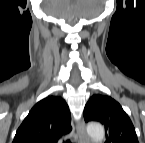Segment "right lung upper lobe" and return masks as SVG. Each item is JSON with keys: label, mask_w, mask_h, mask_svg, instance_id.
Segmentation results:
<instances>
[{"label": "right lung upper lobe", "mask_w": 145, "mask_h": 143, "mask_svg": "<svg viewBox=\"0 0 145 143\" xmlns=\"http://www.w3.org/2000/svg\"><path fill=\"white\" fill-rule=\"evenodd\" d=\"M70 119L66 102L61 97L48 96L30 110L13 143H57L71 131Z\"/></svg>", "instance_id": "cb5924a9"}]
</instances>
